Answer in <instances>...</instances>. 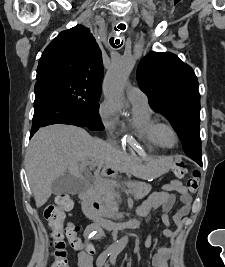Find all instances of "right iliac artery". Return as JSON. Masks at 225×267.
<instances>
[{
    "mask_svg": "<svg viewBox=\"0 0 225 267\" xmlns=\"http://www.w3.org/2000/svg\"><path fill=\"white\" fill-rule=\"evenodd\" d=\"M93 233L95 234L96 231H94ZM112 252H113L112 249H107V250H105L104 252H102V253L99 255V257H98V259H97V261H96V265H97V267H102V266L104 265L106 259L108 258V256H109L110 254H112Z\"/></svg>",
    "mask_w": 225,
    "mask_h": 267,
    "instance_id": "82829eb1",
    "label": "right iliac artery"
}]
</instances>
